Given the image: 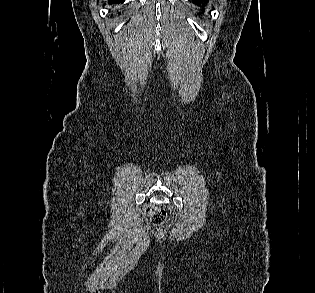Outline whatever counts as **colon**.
Returning a JSON list of instances; mask_svg holds the SVG:
<instances>
[{
    "label": "colon",
    "mask_w": 315,
    "mask_h": 293,
    "mask_svg": "<svg viewBox=\"0 0 315 293\" xmlns=\"http://www.w3.org/2000/svg\"><path fill=\"white\" fill-rule=\"evenodd\" d=\"M143 211L150 217L152 223L155 225H162L167 220V213L161 208L152 205H146L144 206Z\"/></svg>",
    "instance_id": "obj_1"
}]
</instances>
